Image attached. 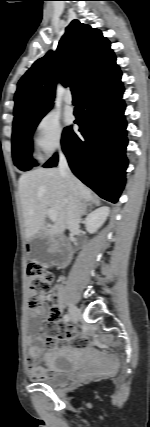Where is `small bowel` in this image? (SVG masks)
I'll use <instances>...</instances> for the list:
<instances>
[{
  "mask_svg": "<svg viewBox=\"0 0 150 427\" xmlns=\"http://www.w3.org/2000/svg\"><path fill=\"white\" fill-rule=\"evenodd\" d=\"M58 298L59 294L54 297L56 302L51 303V309H48L46 306H41L40 313L32 316L30 319L29 333L27 336V368L31 377L44 378L47 376V370L38 365L42 348L45 345L83 348L89 342L87 337L73 334L71 331L62 329V327L57 324L58 317L61 315V305L58 302ZM46 314L48 315V321L55 323V326L52 327L48 336L38 332L44 323L43 316Z\"/></svg>",
  "mask_w": 150,
  "mask_h": 427,
  "instance_id": "obj_1",
  "label": "small bowel"
}]
</instances>
